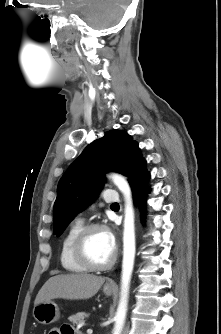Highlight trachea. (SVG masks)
I'll return each mask as SVG.
<instances>
[{"mask_svg": "<svg viewBox=\"0 0 221 334\" xmlns=\"http://www.w3.org/2000/svg\"><path fill=\"white\" fill-rule=\"evenodd\" d=\"M111 206H118V203H113Z\"/></svg>", "mask_w": 221, "mask_h": 334, "instance_id": "3493384b", "label": "trachea"}]
</instances>
